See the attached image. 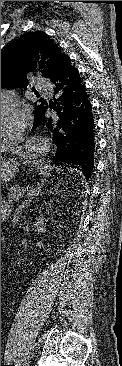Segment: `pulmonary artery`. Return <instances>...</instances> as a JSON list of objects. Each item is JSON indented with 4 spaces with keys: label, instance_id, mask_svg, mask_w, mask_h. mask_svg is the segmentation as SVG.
I'll use <instances>...</instances> for the list:
<instances>
[{
    "label": "pulmonary artery",
    "instance_id": "pulmonary-artery-1",
    "mask_svg": "<svg viewBox=\"0 0 122 366\" xmlns=\"http://www.w3.org/2000/svg\"><path fill=\"white\" fill-rule=\"evenodd\" d=\"M37 84H38V85H41V82H40V81H37Z\"/></svg>",
    "mask_w": 122,
    "mask_h": 366
}]
</instances>
